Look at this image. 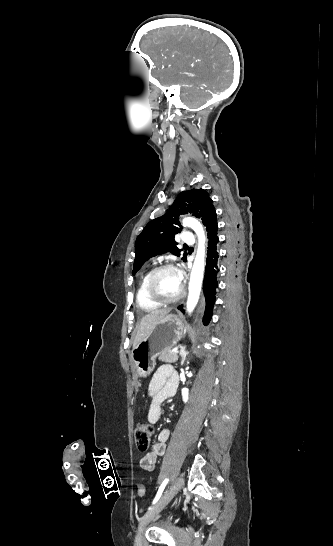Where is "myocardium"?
Segmentation results:
<instances>
[{"mask_svg": "<svg viewBox=\"0 0 333 546\" xmlns=\"http://www.w3.org/2000/svg\"><path fill=\"white\" fill-rule=\"evenodd\" d=\"M166 270H174L176 272L178 271L177 267L174 266L173 264L160 265V266L156 267L154 270L151 271V273L148 276L147 282H146V292H147L148 297L152 301H154L155 303H158L160 305H168V304L176 303L179 300H181L185 295L184 286H182L181 291L177 296H175L173 298H169V299L163 298L162 296H160L156 292L155 287H154L155 279L161 272L166 271Z\"/></svg>", "mask_w": 333, "mask_h": 546, "instance_id": "1", "label": "myocardium"}]
</instances>
